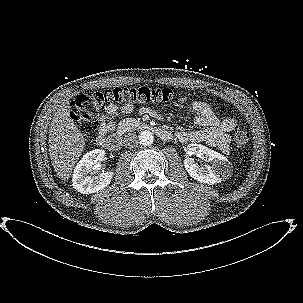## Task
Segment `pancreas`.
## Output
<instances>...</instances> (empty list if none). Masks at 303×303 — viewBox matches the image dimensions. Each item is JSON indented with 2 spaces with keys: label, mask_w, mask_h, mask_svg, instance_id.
<instances>
[{
  "label": "pancreas",
  "mask_w": 303,
  "mask_h": 303,
  "mask_svg": "<svg viewBox=\"0 0 303 303\" xmlns=\"http://www.w3.org/2000/svg\"><path fill=\"white\" fill-rule=\"evenodd\" d=\"M141 125L142 123L140 122V120H137L135 118H127L119 124L117 133L119 135H122L125 132L131 131Z\"/></svg>",
  "instance_id": "pancreas-1"
}]
</instances>
